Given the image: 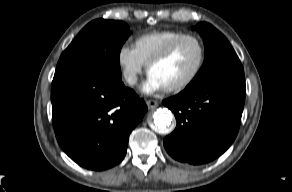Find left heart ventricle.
<instances>
[{"label": "left heart ventricle", "mask_w": 292, "mask_h": 192, "mask_svg": "<svg viewBox=\"0 0 292 192\" xmlns=\"http://www.w3.org/2000/svg\"><path fill=\"white\" fill-rule=\"evenodd\" d=\"M199 55L197 44L192 40H186L168 59L154 65L149 73L155 76L164 87L175 85L194 71Z\"/></svg>", "instance_id": "b2bd125f"}]
</instances>
